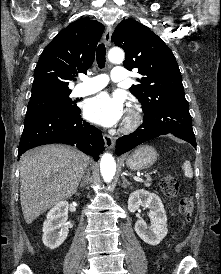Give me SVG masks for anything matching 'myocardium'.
Wrapping results in <instances>:
<instances>
[{"label": "myocardium", "mask_w": 221, "mask_h": 274, "mask_svg": "<svg viewBox=\"0 0 221 274\" xmlns=\"http://www.w3.org/2000/svg\"><path fill=\"white\" fill-rule=\"evenodd\" d=\"M142 122V114L136 108H130L124 122V129L132 131L136 129Z\"/></svg>", "instance_id": "f54148a6"}]
</instances>
